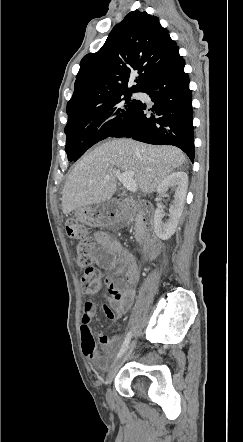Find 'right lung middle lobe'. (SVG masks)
Returning a JSON list of instances; mask_svg holds the SVG:
<instances>
[{"label": "right lung middle lobe", "instance_id": "right-lung-middle-lobe-1", "mask_svg": "<svg viewBox=\"0 0 243 442\" xmlns=\"http://www.w3.org/2000/svg\"><path fill=\"white\" fill-rule=\"evenodd\" d=\"M116 95L100 105L68 118L65 127L67 136L65 151L68 160L76 161L86 150L107 138L135 111L138 100H131L132 93Z\"/></svg>", "mask_w": 243, "mask_h": 442}]
</instances>
